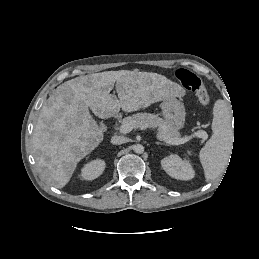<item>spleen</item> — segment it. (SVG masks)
<instances>
[{
	"instance_id": "3e777b00",
	"label": "spleen",
	"mask_w": 259,
	"mask_h": 259,
	"mask_svg": "<svg viewBox=\"0 0 259 259\" xmlns=\"http://www.w3.org/2000/svg\"><path fill=\"white\" fill-rule=\"evenodd\" d=\"M213 115V134L199 154L207 182L216 179L225 170L233 145L229 105L224 100H217Z\"/></svg>"
}]
</instances>
